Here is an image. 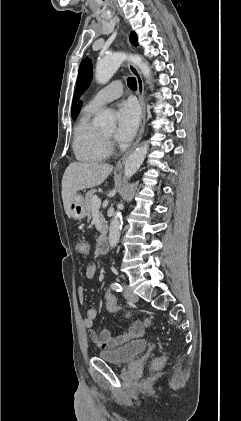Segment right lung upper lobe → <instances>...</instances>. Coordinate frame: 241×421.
I'll use <instances>...</instances> for the list:
<instances>
[{
    "label": "right lung upper lobe",
    "instance_id": "right-lung-upper-lobe-1",
    "mask_svg": "<svg viewBox=\"0 0 241 421\" xmlns=\"http://www.w3.org/2000/svg\"><path fill=\"white\" fill-rule=\"evenodd\" d=\"M81 105H82V102H79V104H78V106H77V109H76L75 118H76V116H77V115H78V113H79V110H80V108H81Z\"/></svg>",
    "mask_w": 241,
    "mask_h": 421
}]
</instances>
